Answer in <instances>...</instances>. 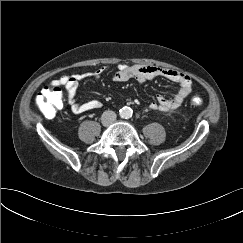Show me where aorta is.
Returning <instances> with one entry per match:
<instances>
[{"mask_svg":"<svg viewBox=\"0 0 243 243\" xmlns=\"http://www.w3.org/2000/svg\"><path fill=\"white\" fill-rule=\"evenodd\" d=\"M132 113H133L132 109L130 107H127V106H124L119 111L120 117L125 118V119L132 117Z\"/></svg>","mask_w":243,"mask_h":243,"instance_id":"1","label":"aorta"}]
</instances>
